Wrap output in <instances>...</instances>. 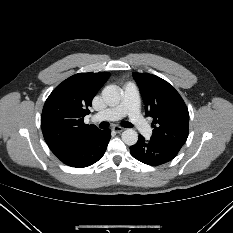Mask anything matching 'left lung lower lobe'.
I'll return each mask as SVG.
<instances>
[{"label": "left lung lower lobe", "instance_id": "left-lung-lower-lobe-1", "mask_svg": "<svg viewBox=\"0 0 233 233\" xmlns=\"http://www.w3.org/2000/svg\"><path fill=\"white\" fill-rule=\"evenodd\" d=\"M178 152V150L155 143L151 139L147 141L142 135H139L138 142L130 147V153L134 158L151 166L171 161Z\"/></svg>", "mask_w": 233, "mask_h": 233}]
</instances>
